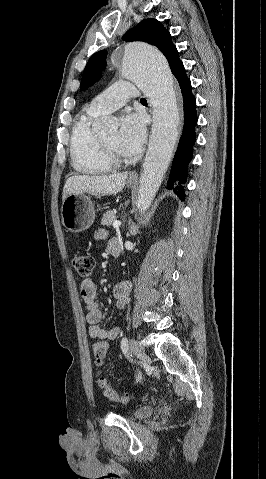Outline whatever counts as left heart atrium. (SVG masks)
<instances>
[{
    "mask_svg": "<svg viewBox=\"0 0 266 479\" xmlns=\"http://www.w3.org/2000/svg\"><path fill=\"white\" fill-rule=\"evenodd\" d=\"M144 119L137 114H127L118 132V145L123 155L132 156L140 152L145 140Z\"/></svg>",
    "mask_w": 266,
    "mask_h": 479,
    "instance_id": "left-heart-atrium-1",
    "label": "left heart atrium"
}]
</instances>
